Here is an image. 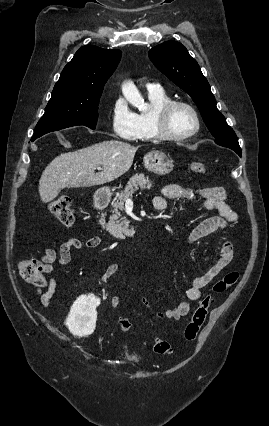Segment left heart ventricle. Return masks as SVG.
<instances>
[{
	"mask_svg": "<svg viewBox=\"0 0 269 426\" xmlns=\"http://www.w3.org/2000/svg\"><path fill=\"white\" fill-rule=\"evenodd\" d=\"M169 127L173 133H187L195 127V119L187 108L177 107L170 116Z\"/></svg>",
	"mask_w": 269,
	"mask_h": 426,
	"instance_id": "left-heart-ventricle-1",
	"label": "left heart ventricle"
}]
</instances>
